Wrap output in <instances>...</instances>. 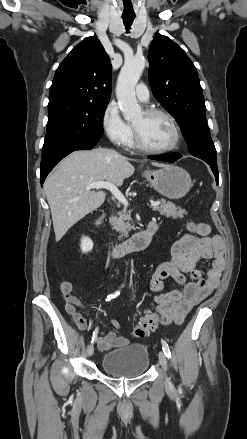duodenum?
Segmentation results:
<instances>
[{
  "instance_id": "410a0bca",
  "label": "duodenum",
  "mask_w": 247,
  "mask_h": 439,
  "mask_svg": "<svg viewBox=\"0 0 247 439\" xmlns=\"http://www.w3.org/2000/svg\"><path fill=\"white\" fill-rule=\"evenodd\" d=\"M102 220L103 217H100L95 221L94 225L96 228L102 223ZM156 230L155 224L151 222L146 226V228L136 233L133 237L121 244L113 245L108 242H104V245L112 255L117 257L125 256L148 247Z\"/></svg>"
}]
</instances>
